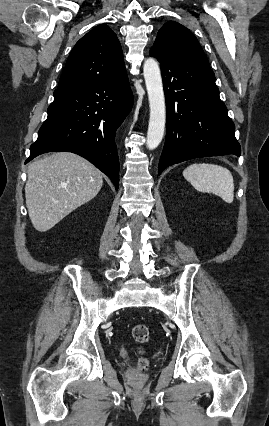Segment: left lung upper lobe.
<instances>
[{"mask_svg":"<svg viewBox=\"0 0 269 426\" xmlns=\"http://www.w3.org/2000/svg\"><path fill=\"white\" fill-rule=\"evenodd\" d=\"M152 48L210 68L208 59L196 37L190 30L175 21H168L160 28Z\"/></svg>","mask_w":269,"mask_h":426,"instance_id":"5c2ea615","label":"left lung upper lobe"}]
</instances>
